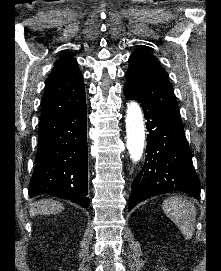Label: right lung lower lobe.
Wrapping results in <instances>:
<instances>
[{
  "label": "right lung lower lobe",
  "instance_id": "right-lung-lower-lobe-1",
  "mask_svg": "<svg viewBox=\"0 0 221 271\" xmlns=\"http://www.w3.org/2000/svg\"><path fill=\"white\" fill-rule=\"evenodd\" d=\"M35 168L29 196L40 193L89 207L87 197V108L40 120Z\"/></svg>",
  "mask_w": 221,
  "mask_h": 271
}]
</instances>
